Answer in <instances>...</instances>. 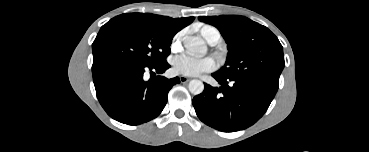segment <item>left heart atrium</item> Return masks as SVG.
<instances>
[{
  "mask_svg": "<svg viewBox=\"0 0 369 152\" xmlns=\"http://www.w3.org/2000/svg\"><path fill=\"white\" fill-rule=\"evenodd\" d=\"M214 66L215 62L210 57L183 54L173 60L175 72L184 76H198L203 72L211 71Z\"/></svg>",
  "mask_w": 369,
  "mask_h": 152,
  "instance_id": "left-heart-atrium-1",
  "label": "left heart atrium"
}]
</instances>
